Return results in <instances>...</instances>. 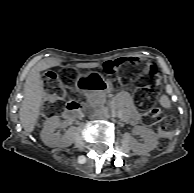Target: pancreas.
<instances>
[{
	"label": "pancreas",
	"mask_w": 194,
	"mask_h": 193,
	"mask_svg": "<svg viewBox=\"0 0 194 193\" xmlns=\"http://www.w3.org/2000/svg\"><path fill=\"white\" fill-rule=\"evenodd\" d=\"M110 99H111V96L110 95H107L106 96L105 94H100L96 98V101L99 102L100 104H103L104 102H107Z\"/></svg>",
	"instance_id": "1"
}]
</instances>
